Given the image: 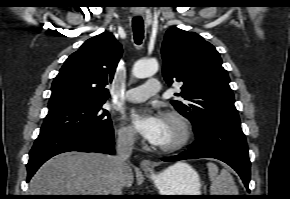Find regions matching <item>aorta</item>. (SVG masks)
Here are the masks:
<instances>
[{
	"label": "aorta",
	"instance_id": "762f6f07",
	"mask_svg": "<svg viewBox=\"0 0 290 199\" xmlns=\"http://www.w3.org/2000/svg\"><path fill=\"white\" fill-rule=\"evenodd\" d=\"M158 69L159 65L155 59L139 60L134 64L132 74L134 77L142 79L153 76Z\"/></svg>",
	"mask_w": 290,
	"mask_h": 199
}]
</instances>
